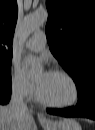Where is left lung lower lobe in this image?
Returning a JSON list of instances; mask_svg holds the SVG:
<instances>
[{
    "mask_svg": "<svg viewBox=\"0 0 95 130\" xmlns=\"http://www.w3.org/2000/svg\"><path fill=\"white\" fill-rule=\"evenodd\" d=\"M47 112L64 117H84L95 119V82L78 93V103L68 109H47Z\"/></svg>",
    "mask_w": 95,
    "mask_h": 130,
    "instance_id": "left-lung-lower-lobe-1",
    "label": "left lung lower lobe"
}]
</instances>
